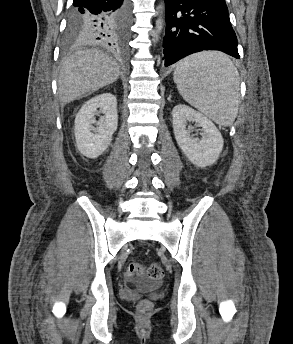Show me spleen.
<instances>
[{
	"mask_svg": "<svg viewBox=\"0 0 293 344\" xmlns=\"http://www.w3.org/2000/svg\"><path fill=\"white\" fill-rule=\"evenodd\" d=\"M179 93L217 124L229 126L237 116L239 73L220 52H201L181 60L174 71Z\"/></svg>",
	"mask_w": 293,
	"mask_h": 344,
	"instance_id": "3e777b00",
	"label": "spleen"
}]
</instances>
